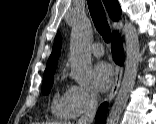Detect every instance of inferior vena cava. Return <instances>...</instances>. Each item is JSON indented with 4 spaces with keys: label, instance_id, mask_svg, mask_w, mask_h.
Here are the masks:
<instances>
[{
    "label": "inferior vena cava",
    "instance_id": "inferior-vena-cava-1",
    "mask_svg": "<svg viewBox=\"0 0 156 124\" xmlns=\"http://www.w3.org/2000/svg\"><path fill=\"white\" fill-rule=\"evenodd\" d=\"M97 107V100L95 96H92L87 102L84 113L78 120L77 124H92Z\"/></svg>",
    "mask_w": 156,
    "mask_h": 124
}]
</instances>
